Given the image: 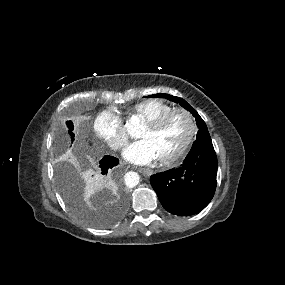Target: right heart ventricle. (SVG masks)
I'll use <instances>...</instances> for the list:
<instances>
[{
    "mask_svg": "<svg viewBox=\"0 0 285 285\" xmlns=\"http://www.w3.org/2000/svg\"><path fill=\"white\" fill-rule=\"evenodd\" d=\"M173 108L169 103L159 99H148L136 104L132 111L134 114L149 121Z\"/></svg>",
    "mask_w": 285,
    "mask_h": 285,
    "instance_id": "e07e8e85",
    "label": "right heart ventricle"
}]
</instances>
